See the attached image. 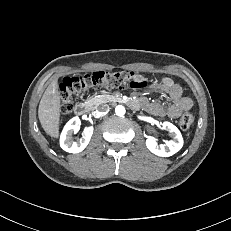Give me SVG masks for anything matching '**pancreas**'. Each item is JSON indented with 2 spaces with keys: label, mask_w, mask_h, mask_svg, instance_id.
I'll return each mask as SVG.
<instances>
[{
  "label": "pancreas",
  "mask_w": 231,
  "mask_h": 231,
  "mask_svg": "<svg viewBox=\"0 0 231 231\" xmlns=\"http://www.w3.org/2000/svg\"><path fill=\"white\" fill-rule=\"evenodd\" d=\"M113 98L114 97L112 95H101L96 97L94 100L98 103H104V102L112 101Z\"/></svg>",
  "instance_id": "pancreas-1"
}]
</instances>
